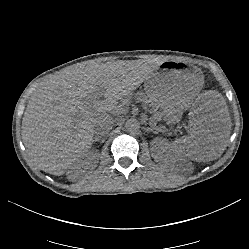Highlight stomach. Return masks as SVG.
I'll list each match as a JSON object with an SVG mask.
<instances>
[{"label":"stomach","mask_w":249,"mask_h":249,"mask_svg":"<svg viewBox=\"0 0 249 249\" xmlns=\"http://www.w3.org/2000/svg\"><path fill=\"white\" fill-rule=\"evenodd\" d=\"M203 86L201 69L176 61L163 62L144 82L148 97L150 92L161 112L169 117L184 115Z\"/></svg>","instance_id":"obj_1"}]
</instances>
